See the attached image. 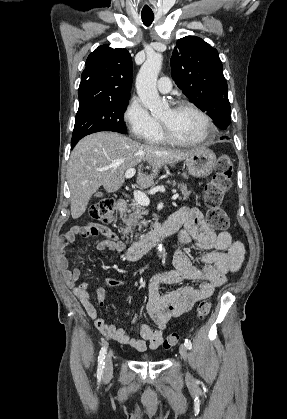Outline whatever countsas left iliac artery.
I'll use <instances>...</instances> for the list:
<instances>
[{
    "label": "left iliac artery",
    "instance_id": "1",
    "mask_svg": "<svg viewBox=\"0 0 287 419\" xmlns=\"http://www.w3.org/2000/svg\"><path fill=\"white\" fill-rule=\"evenodd\" d=\"M184 344L187 347V349H191L192 348V344H191V341L190 340L185 339V343Z\"/></svg>",
    "mask_w": 287,
    "mask_h": 419
}]
</instances>
